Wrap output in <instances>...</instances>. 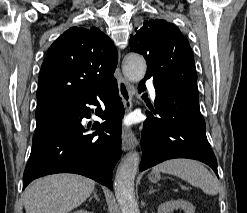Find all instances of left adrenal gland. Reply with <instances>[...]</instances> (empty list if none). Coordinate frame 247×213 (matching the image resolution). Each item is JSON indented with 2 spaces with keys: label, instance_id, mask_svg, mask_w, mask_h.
Instances as JSON below:
<instances>
[{
  "label": "left adrenal gland",
  "instance_id": "1",
  "mask_svg": "<svg viewBox=\"0 0 247 213\" xmlns=\"http://www.w3.org/2000/svg\"><path fill=\"white\" fill-rule=\"evenodd\" d=\"M157 190H154L153 189V186H150V191H149V194H152V193H154V192H156Z\"/></svg>",
  "mask_w": 247,
  "mask_h": 213
}]
</instances>
